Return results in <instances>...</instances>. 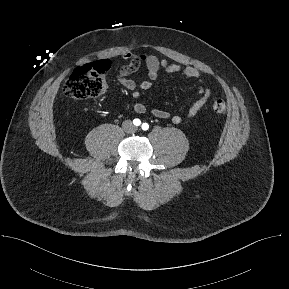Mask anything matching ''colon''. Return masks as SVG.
Instances as JSON below:
<instances>
[{
	"label": "colon",
	"mask_w": 289,
	"mask_h": 289,
	"mask_svg": "<svg viewBox=\"0 0 289 289\" xmlns=\"http://www.w3.org/2000/svg\"><path fill=\"white\" fill-rule=\"evenodd\" d=\"M110 64L105 61L86 64L75 69L64 83V94L75 100L94 98L106 90V74ZM213 109L219 114L226 112L224 100L218 99L213 103Z\"/></svg>",
	"instance_id": "5ec220e1"
}]
</instances>
